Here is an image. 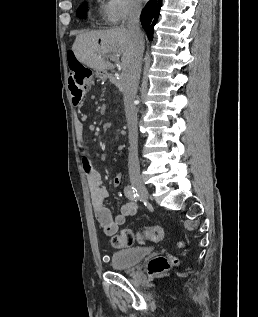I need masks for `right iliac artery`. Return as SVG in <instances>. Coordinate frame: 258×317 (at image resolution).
I'll return each instance as SVG.
<instances>
[{
  "instance_id": "1",
  "label": "right iliac artery",
  "mask_w": 258,
  "mask_h": 317,
  "mask_svg": "<svg viewBox=\"0 0 258 317\" xmlns=\"http://www.w3.org/2000/svg\"><path fill=\"white\" fill-rule=\"evenodd\" d=\"M124 193L129 200L138 202L139 194L133 186L127 185L124 189Z\"/></svg>"
}]
</instances>
